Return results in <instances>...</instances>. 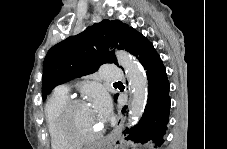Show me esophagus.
I'll return each mask as SVG.
<instances>
[{
	"label": "esophagus",
	"instance_id": "34e87169",
	"mask_svg": "<svg viewBox=\"0 0 227 149\" xmlns=\"http://www.w3.org/2000/svg\"><path fill=\"white\" fill-rule=\"evenodd\" d=\"M123 122H124V117L119 116L117 119L116 125H115L114 129L112 130V132L110 133V135L108 137H104L103 140L100 141V144L101 145H110L111 142L114 141V138L120 134V132L122 130Z\"/></svg>",
	"mask_w": 227,
	"mask_h": 149
}]
</instances>
